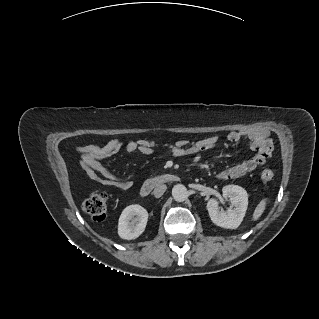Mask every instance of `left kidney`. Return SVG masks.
Listing matches in <instances>:
<instances>
[{
    "label": "left kidney",
    "mask_w": 319,
    "mask_h": 319,
    "mask_svg": "<svg viewBox=\"0 0 319 319\" xmlns=\"http://www.w3.org/2000/svg\"><path fill=\"white\" fill-rule=\"evenodd\" d=\"M223 197L228 198L234 206L227 211L219 207L216 199H209L207 210L211 221L222 228L236 229L245 216L248 207V194L246 190L237 185H227L222 189Z\"/></svg>",
    "instance_id": "obj_1"
}]
</instances>
